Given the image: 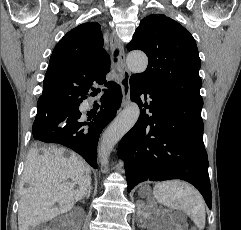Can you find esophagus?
<instances>
[{"label":"esophagus","instance_id":"34e87169","mask_svg":"<svg viewBox=\"0 0 241 230\" xmlns=\"http://www.w3.org/2000/svg\"><path fill=\"white\" fill-rule=\"evenodd\" d=\"M119 49V71H120V84L122 88V107L127 106L130 103V84L129 80L131 77V72L129 71L126 60H125V53L123 44L120 41V39L113 34L110 38V49L111 51H114L116 49Z\"/></svg>","mask_w":241,"mask_h":230}]
</instances>
